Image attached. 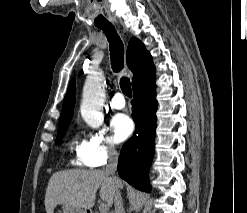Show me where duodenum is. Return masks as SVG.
I'll return each instance as SVG.
<instances>
[{"label": "duodenum", "instance_id": "410a0bca", "mask_svg": "<svg viewBox=\"0 0 247 213\" xmlns=\"http://www.w3.org/2000/svg\"><path fill=\"white\" fill-rule=\"evenodd\" d=\"M87 213H93L92 211H88Z\"/></svg>", "mask_w": 247, "mask_h": 213}]
</instances>
